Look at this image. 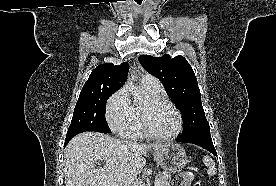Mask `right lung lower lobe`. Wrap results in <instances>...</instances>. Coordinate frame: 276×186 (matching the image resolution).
<instances>
[{
    "label": "right lung lower lobe",
    "mask_w": 276,
    "mask_h": 186,
    "mask_svg": "<svg viewBox=\"0 0 276 186\" xmlns=\"http://www.w3.org/2000/svg\"><path fill=\"white\" fill-rule=\"evenodd\" d=\"M85 131H97V132H102V133H107L109 134V132H106V131H101V130H85ZM85 131H79V132H74V133H71V134H67L66 135V140H65V145L77 134L81 133V132H85Z\"/></svg>",
    "instance_id": "1"
}]
</instances>
